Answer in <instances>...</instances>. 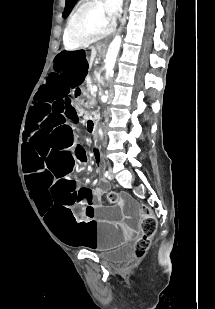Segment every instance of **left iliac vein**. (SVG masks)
<instances>
[{
  "label": "left iliac vein",
  "mask_w": 215,
  "mask_h": 309,
  "mask_svg": "<svg viewBox=\"0 0 215 309\" xmlns=\"http://www.w3.org/2000/svg\"><path fill=\"white\" fill-rule=\"evenodd\" d=\"M109 177H110L111 179H113V177H114L113 171H112L111 169L109 170Z\"/></svg>",
  "instance_id": "1"
}]
</instances>
